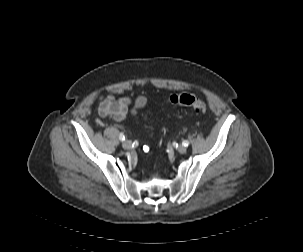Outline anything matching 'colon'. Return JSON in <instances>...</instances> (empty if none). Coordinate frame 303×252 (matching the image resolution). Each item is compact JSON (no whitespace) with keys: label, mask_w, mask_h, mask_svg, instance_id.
<instances>
[{"label":"colon","mask_w":303,"mask_h":252,"mask_svg":"<svg viewBox=\"0 0 303 252\" xmlns=\"http://www.w3.org/2000/svg\"><path fill=\"white\" fill-rule=\"evenodd\" d=\"M167 102L174 105H182L192 108L197 113H204L207 110V106L204 101L191 93H181L171 95Z\"/></svg>","instance_id":"obj_1"}]
</instances>
